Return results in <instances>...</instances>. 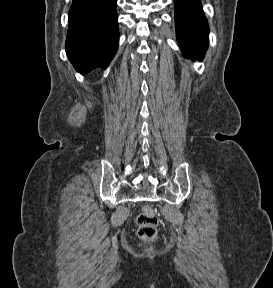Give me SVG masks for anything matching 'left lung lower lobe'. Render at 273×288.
Here are the masks:
<instances>
[{
	"instance_id": "obj_1",
	"label": "left lung lower lobe",
	"mask_w": 273,
	"mask_h": 288,
	"mask_svg": "<svg viewBox=\"0 0 273 288\" xmlns=\"http://www.w3.org/2000/svg\"><path fill=\"white\" fill-rule=\"evenodd\" d=\"M179 46L185 58L202 60L208 47L209 28L200 0H174Z\"/></svg>"
}]
</instances>
